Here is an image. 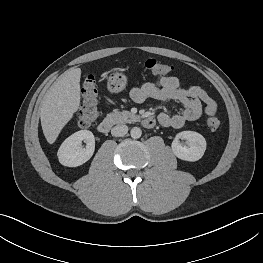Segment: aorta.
<instances>
[{
  "label": "aorta",
  "instance_id": "aorta-1",
  "mask_svg": "<svg viewBox=\"0 0 263 263\" xmlns=\"http://www.w3.org/2000/svg\"><path fill=\"white\" fill-rule=\"evenodd\" d=\"M130 135L132 138L134 139H138L141 137L142 135V131L139 127H133L130 131Z\"/></svg>",
  "mask_w": 263,
  "mask_h": 263
}]
</instances>
